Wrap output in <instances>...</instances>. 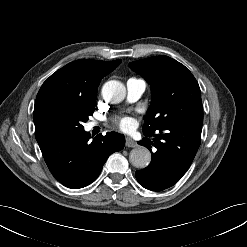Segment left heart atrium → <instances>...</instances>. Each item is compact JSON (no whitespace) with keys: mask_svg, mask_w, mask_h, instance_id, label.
Listing matches in <instances>:
<instances>
[{"mask_svg":"<svg viewBox=\"0 0 247 247\" xmlns=\"http://www.w3.org/2000/svg\"><path fill=\"white\" fill-rule=\"evenodd\" d=\"M116 123L118 124V126L124 130V131H127V130H130L132 127H133V124H134V121L132 118L130 117H121L119 118Z\"/></svg>","mask_w":247,"mask_h":247,"instance_id":"39dd6f15","label":"left heart atrium"}]
</instances>
